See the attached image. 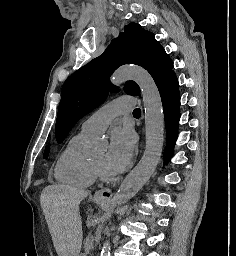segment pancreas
Listing matches in <instances>:
<instances>
[{"instance_id":"pancreas-1","label":"pancreas","mask_w":236,"mask_h":256,"mask_svg":"<svg viewBox=\"0 0 236 256\" xmlns=\"http://www.w3.org/2000/svg\"><path fill=\"white\" fill-rule=\"evenodd\" d=\"M88 224H95V219H88ZM94 243L91 242V238H84L83 249L92 250Z\"/></svg>"}]
</instances>
